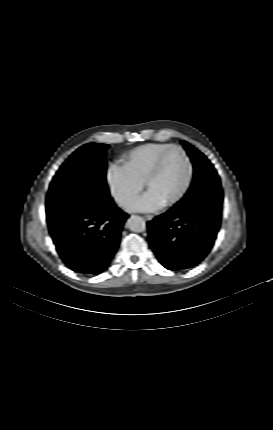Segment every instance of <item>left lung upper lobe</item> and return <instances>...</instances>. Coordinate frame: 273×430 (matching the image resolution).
I'll use <instances>...</instances> for the list:
<instances>
[{
	"label": "left lung upper lobe",
	"instance_id": "1",
	"mask_svg": "<svg viewBox=\"0 0 273 430\" xmlns=\"http://www.w3.org/2000/svg\"><path fill=\"white\" fill-rule=\"evenodd\" d=\"M194 166V178L189 191H196L205 184H220V178L210 161L196 148L181 141Z\"/></svg>",
	"mask_w": 273,
	"mask_h": 430
}]
</instances>
